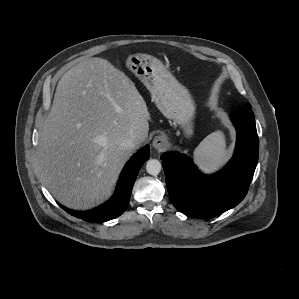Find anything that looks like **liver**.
Returning <instances> with one entry per match:
<instances>
[{"mask_svg": "<svg viewBox=\"0 0 299 299\" xmlns=\"http://www.w3.org/2000/svg\"><path fill=\"white\" fill-rule=\"evenodd\" d=\"M149 112L134 83L108 60L81 61L59 80L38 143V169L51 194L75 210L111 191L148 136ZM136 137L132 150L121 145Z\"/></svg>", "mask_w": 299, "mask_h": 299, "instance_id": "1", "label": "liver"}]
</instances>
